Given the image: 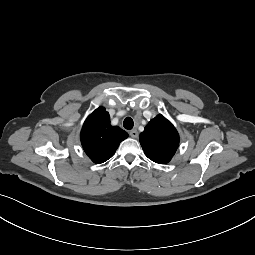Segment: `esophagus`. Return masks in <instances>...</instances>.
<instances>
[{
    "mask_svg": "<svg viewBox=\"0 0 255 255\" xmlns=\"http://www.w3.org/2000/svg\"><path fill=\"white\" fill-rule=\"evenodd\" d=\"M130 136L132 138H137L138 137V131L136 129H133L129 132Z\"/></svg>",
    "mask_w": 255,
    "mask_h": 255,
    "instance_id": "1",
    "label": "esophagus"
}]
</instances>
